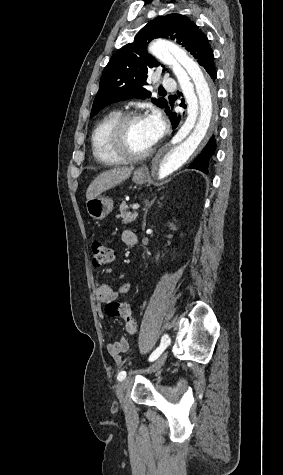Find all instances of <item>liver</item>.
<instances>
[{"instance_id":"1","label":"liver","mask_w":283,"mask_h":475,"mask_svg":"<svg viewBox=\"0 0 283 475\" xmlns=\"http://www.w3.org/2000/svg\"><path fill=\"white\" fill-rule=\"evenodd\" d=\"M133 170L134 168L131 166V168H112V170L103 172V174H100V176H97V178L91 182L86 192L87 200L97 198L102 192H106V190H110V188H115V186L127 180Z\"/></svg>"}]
</instances>
